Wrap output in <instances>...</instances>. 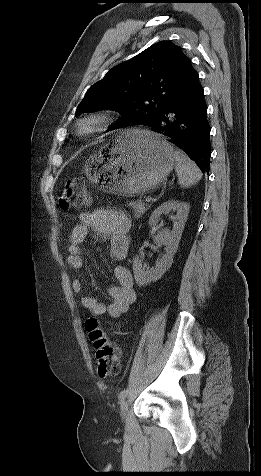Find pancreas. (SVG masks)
I'll use <instances>...</instances> for the list:
<instances>
[{"instance_id":"obj_1","label":"pancreas","mask_w":261,"mask_h":476,"mask_svg":"<svg viewBox=\"0 0 261 476\" xmlns=\"http://www.w3.org/2000/svg\"><path fill=\"white\" fill-rule=\"evenodd\" d=\"M131 207L133 209L134 216L139 218L150 208V205L143 202L142 200H137L131 203Z\"/></svg>"}]
</instances>
